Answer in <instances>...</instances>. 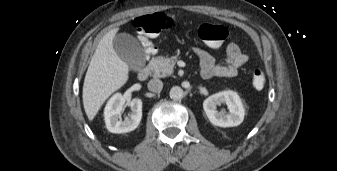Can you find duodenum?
I'll use <instances>...</instances> for the list:
<instances>
[{
    "instance_id": "obj_1",
    "label": "duodenum",
    "mask_w": 337,
    "mask_h": 171,
    "mask_svg": "<svg viewBox=\"0 0 337 171\" xmlns=\"http://www.w3.org/2000/svg\"><path fill=\"white\" fill-rule=\"evenodd\" d=\"M149 75H150V68L146 66L138 72L137 77L139 80L144 81L149 77Z\"/></svg>"
}]
</instances>
